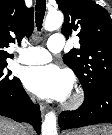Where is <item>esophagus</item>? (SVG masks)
I'll return each mask as SVG.
<instances>
[{"instance_id": "34e87169", "label": "esophagus", "mask_w": 112, "mask_h": 135, "mask_svg": "<svg viewBox=\"0 0 112 135\" xmlns=\"http://www.w3.org/2000/svg\"><path fill=\"white\" fill-rule=\"evenodd\" d=\"M40 110H41L42 113H44L46 111V105L41 103L40 104Z\"/></svg>"}]
</instances>
